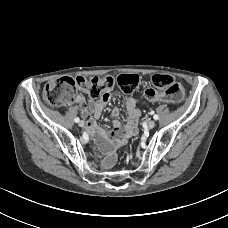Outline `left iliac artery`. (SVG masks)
Segmentation results:
<instances>
[{
    "label": "left iliac artery",
    "mask_w": 228,
    "mask_h": 228,
    "mask_svg": "<svg viewBox=\"0 0 228 228\" xmlns=\"http://www.w3.org/2000/svg\"><path fill=\"white\" fill-rule=\"evenodd\" d=\"M153 118H154V120H158L159 116L158 115H154Z\"/></svg>",
    "instance_id": "left-iliac-artery-1"
}]
</instances>
